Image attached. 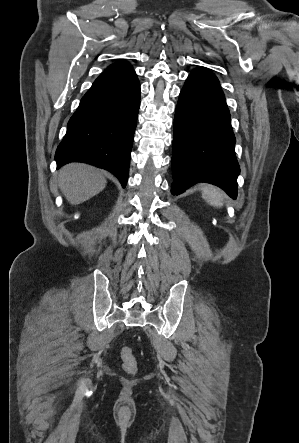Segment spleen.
Listing matches in <instances>:
<instances>
[{
  "mask_svg": "<svg viewBox=\"0 0 299 443\" xmlns=\"http://www.w3.org/2000/svg\"><path fill=\"white\" fill-rule=\"evenodd\" d=\"M202 196L210 205L220 207L223 204V192L213 186H204L202 188Z\"/></svg>",
  "mask_w": 299,
  "mask_h": 443,
  "instance_id": "obj_1",
  "label": "spleen"
}]
</instances>
